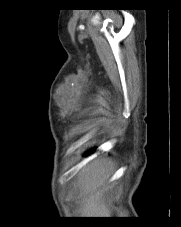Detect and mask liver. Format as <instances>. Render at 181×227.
I'll return each mask as SVG.
<instances>
[{
    "label": "liver",
    "mask_w": 181,
    "mask_h": 227,
    "mask_svg": "<svg viewBox=\"0 0 181 227\" xmlns=\"http://www.w3.org/2000/svg\"><path fill=\"white\" fill-rule=\"evenodd\" d=\"M113 173L112 164L105 159H97L85 166L79 173L81 217H109L111 210L104 201V194L109 189V180Z\"/></svg>",
    "instance_id": "6515ba94"
}]
</instances>
